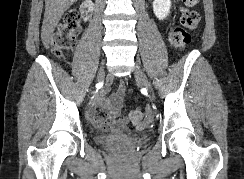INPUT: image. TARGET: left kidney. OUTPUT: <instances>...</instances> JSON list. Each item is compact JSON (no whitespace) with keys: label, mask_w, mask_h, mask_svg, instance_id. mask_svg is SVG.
I'll return each instance as SVG.
<instances>
[{"label":"left kidney","mask_w":244,"mask_h":179,"mask_svg":"<svg viewBox=\"0 0 244 179\" xmlns=\"http://www.w3.org/2000/svg\"><path fill=\"white\" fill-rule=\"evenodd\" d=\"M171 8L170 0H154L153 12L158 20H165Z\"/></svg>","instance_id":"left-kidney-1"}]
</instances>
